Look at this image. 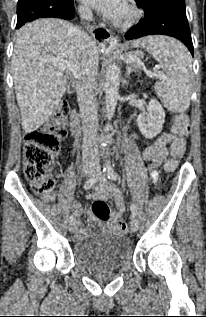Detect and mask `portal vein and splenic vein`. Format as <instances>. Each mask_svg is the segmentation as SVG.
I'll use <instances>...</instances> for the list:
<instances>
[{
    "instance_id": "portal-vein-and-splenic-vein-1",
    "label": "portal vein and splenic vein",
    "mask_w": 206,
    "mask_h": 317,
    "mask_svg": "<svg viewBox=\"0 0 206 317\" xmlns=\"http://www.w3.org/2000/svg\"><path fill=\"white\" fill-rule=\"evenodd\" d=\"M47 62H49L51 65L58 67L60 69H67L69 70L75 77L79 76V69L78 67H76L73 63L67 61V60H63V59H58V58H50L47 60ZM126 63H130V64H140L144 71L146 72V74L150 77V78H163V75L160 72L155 71L154 73H151L149 71L146 70L145 66L143 65V63L141 62V60L138 57H129L128 59H126L125 61Z\"/></svg>"
}]
</instances>
